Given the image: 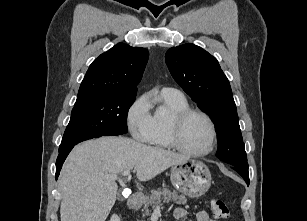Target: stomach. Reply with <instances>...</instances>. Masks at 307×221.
I'll use <instances>...</instances> for the list:
<instances>
[{"mask_svg":"<svg viewBox=\"0 0 307 221\" xmlns=\"http://www.w3.org/2000/svg\"><path fill=\"white\" fill-rule=\"evenodd\" d=\"M171 182L179 192L196 198L207 192L212 178L209 168L203 162L189 159L172 167Z\"/></svg>","mask_w":307,"mask_h":221,"instance_id":"stomach-1","label":"stomach"}]
</instances>
